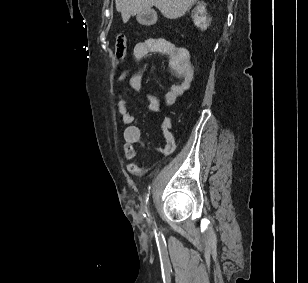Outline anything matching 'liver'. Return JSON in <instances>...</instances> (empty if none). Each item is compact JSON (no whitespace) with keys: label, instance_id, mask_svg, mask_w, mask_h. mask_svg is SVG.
Instances as JSON below:
<instances>
[{"label":"liver","instance_id":"6515ba94","mask_svg":"<svg viewBox=\"0 0 308 283\" xmlns=\"http://www.w3.org/2000/svg\"><path fill=\"white\" fill-rule=\"evenodd\" d=\"M197 0H115L116 9L126 23L131 16L148 11L152 6L168 19L182 17Z\"/></svg>","mask_w":308,"mask_h":283}]
</instances>
